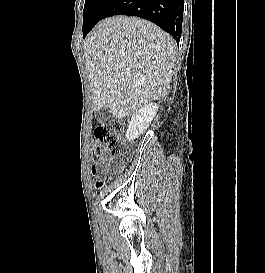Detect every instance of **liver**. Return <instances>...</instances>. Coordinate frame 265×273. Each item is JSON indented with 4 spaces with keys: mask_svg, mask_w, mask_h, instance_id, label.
Listing matches in <instances>:
<instances>
[{
    "mask_svg": "<svg viewBox=\"0 0 265 273\" xmlns=\"http://www.w3.org/2000/svg\"><path fill=\"white\" fill-rule=\"evenodd\" d=\"M176 42L154 23L115 16L98 23L84 44L95 111L121 119L170 88Z\"/></svg>",
    "mask_w": 265,
    "mask_h": 273,
    "instance_id": "liver-1",
    "label": "liver"
}]
</instances>
